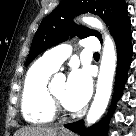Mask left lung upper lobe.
Instances as JSON below:
<instances>
[{
  "label": "left lung upper lobe",
  "instance_id": "obj_1",
  "mask_svg": "<svg viewBox=\"0 0 136 136\" xmlns=\"http://www.w3.org/2000/svg\"><path fill=\"white\" fill-rule=\"evenodd\" d=\"M87 12L102 18L112 34L127 17V5L124 0H64L41 22L25 65H29L51 46L67 40L68 36L85 38L93 35L101 41V35L97 31L76 25L72 21L74 16Z\"/></svg>",
  "mask_w": 136,
  "mask_h": 136
}]
</instances>
